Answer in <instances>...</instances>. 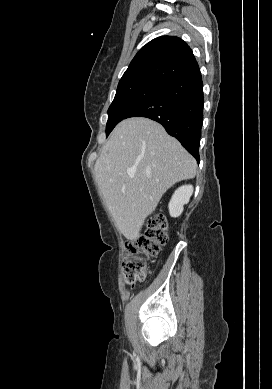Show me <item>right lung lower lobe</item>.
Returning a JSON list of instances; mask_svg holds the SVG:
<instances>
[{
	"instance_id": "98d812e1",
	"label": "right lung lower lobe",
	"mask_w": 272,
	"mask_h": 389,
	"mask_svg": "<svg viewBox=\"0 0 272 389\" xmlns=\"http://www.w3.org/2000/svg\"><path fill=\"white\" fill-rule=\"evenodd\" d=\"M147 117L159 122L199 162L203 123V82L200 70L164 85L125 117Z\"/></svg>"
}]
</instances>
